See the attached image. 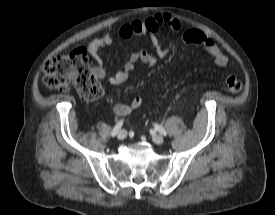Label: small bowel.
Wrapping results in <instances>:
<instances>
[{
    "instance_id": "small-bowel-1",
    "label": "small bowel",
    "mask_w": 275,
    "mask_h": 215,
    "mask_svg": "<svg viewBox=\"0 0 275 215\" xmlns=\"http://www.w3.org/2000/svg\"><path fill=\"white\" fill-rule=\"evenodd\" d=\"M162 26H165L173 33L181 32V39L184 43L202 46L206 53L212 57L216 65L219 67H225L228 65V57L211 38L195 29H185L181 31L182 26L178 19L170 14H158L145 20H133L124 23L119 27L118 34L122 39L148 36L153 46L154 53L147 50L132 53L129 61L124 65V67L109 76L111 84L119 85L125 82L133 73L135 64L143 63L146 65H153L157 58L164 57L167 54L158 38V31ZM113 42V35L109 32H105L102 36L92 40L88 46L90 54L97 63V66L93 69V73L97 78H105L107 76V72L103 67L101 49L105 46L112 45ZM141 104L142 99L140 97H134L128 104H116L114 106V113L120 117L126 116L131 112V110L139 108Z\"/></svg>"
}]
</instances>
